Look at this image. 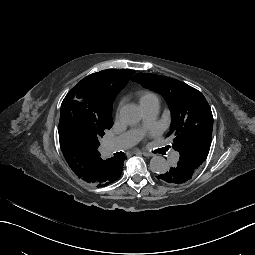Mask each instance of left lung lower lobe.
Segmentation results:
<instances>
[{
    "label": "left lung lower lobe",
    "mask_w": 255,
    "mask_h": 255,
    "mask_svg": "<svg viewBox=\"0 0 255 255\" xmlns=\"http://www.w3.org/2000/svg\"><path fill=\"white\" fill-rule=\"evenodd\" d=\"M168 172H159L157 177L163 180L166 184H175L176 182L184 184L192 179V174L185 170L179 163H175L171 169L168 167Z\"/></svg>",
    "instance_id": "1"
}]
</instances>
